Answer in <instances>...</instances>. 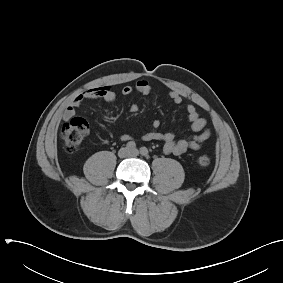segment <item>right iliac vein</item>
Returning a JSON list of instances; mask_svg holds the SVG:
<instances>
[{
  "instance_id": "63e3f726",
  "label": "right iliac vein",
  "mask_w": 283,
  "mask_h": 283,
  "mask_svg": "<svg viewBox=\"0 0 283 283\" xmlns=\"http://www.w3.org/2000/svg\"><path fill=\"white\" fill-rule=\"evenodd\" d=\"M130 154V151L127 147H123L118 151L120 157H127Z\"/></svg>"
}]
</instances>
